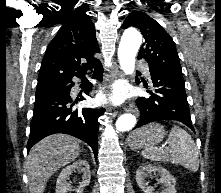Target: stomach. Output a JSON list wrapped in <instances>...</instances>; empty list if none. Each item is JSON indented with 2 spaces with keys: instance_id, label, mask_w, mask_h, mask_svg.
<instances>
[{
  "instance_id": "0dacf381",
  "label": "stomach",
  "mask_w": 221,
  "mask_h": 193,
  "mask_svg": "<svg viewBox=\"0 0 221 193\" xmlns=\"http://www.w3.org/2000/svg\"><path fill=\"white\" fill-rule=\"evenodd\" d=\"M164 127L159 123H151L133 131L128 136V145L133 149L152 147L165 137Z\"/></svg>"
}]
</instances>
